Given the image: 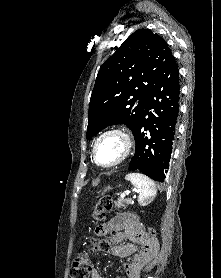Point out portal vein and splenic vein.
Masks as SVG:
<instances>
[{"label": "portal vein and splenic vein", "mask_w": 221, "mask_h": 278, "mask_svg": "<svg viewBox=\"0 0 221 278\" xmlns=\"http://www.w3.org/2000/svg\"><path fill=\"white\" fill-rule=\"evenodd\" d=\"M125 196V194H123V197ZM129 201H131V199H128Z\"/></svg>", "instance_id": "18ae733b"}]
</instances>
